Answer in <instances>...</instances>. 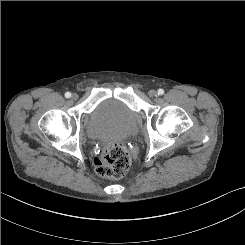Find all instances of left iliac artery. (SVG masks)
Wrapping results in <instances>:
<instances>
[{
	"label": "left iliac artery",
	"instance_id": "obj_1",
	"mask_svg": "<svg viewBox=\"0 0 245 245\" xmlns=\"http://www.w3.org/2000/svg\"><path fill=\"white\" fill-rule=\"evenodd\" d=\"M164 94V90L163 89H158V95H163Z\"/></svg>",
	"mask_w": 245,
	"mask_h": 245
}]
</instances>
